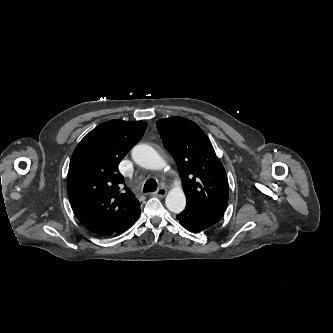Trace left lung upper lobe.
I'll use <instances>...</instances> for the list:
<instances>
[{
	"label": "left lung upper lobe",
	"mask_w": 333,
	"mask_h": 333,
	"mask_svg": "<svg viewBox=\"0 0 333 333\" xmlns=\"http://www.w3.org/2000/svg\"><path fill=\"white\" fill-rule=\"evenodd\" d=\"M157 129L177 163L187 204L223 214L228 203V179L206 134L183 117L160 119Z\"/></svg>",
	"instance_id": "obj_1"
}]
</instances>
